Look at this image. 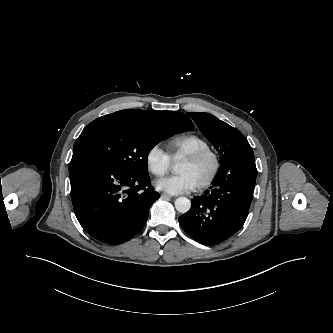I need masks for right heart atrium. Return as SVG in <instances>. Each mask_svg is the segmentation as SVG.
Returning <instances> with one entry per match:
<instances>
[{
    "instance_id": "obj_1",
    "label": "right heart atrium",
    "mask_w": 333,
    "mask_h": 333,
    "mask_svg": "<svg viewBox=\"0 0 333 333\" xmlns=\"http://www.w3.org/2000/svg\"><path fill=\"white\" fill-rule=\"evenodd\" d=\"M148 171L155 177H163L171 167V160L163 149L155 144L151 146L145 156Z\"/></svg>"
}]
</instances>
